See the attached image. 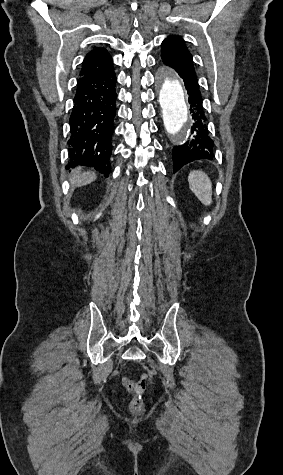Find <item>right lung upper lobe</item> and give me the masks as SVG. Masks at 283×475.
I'll return each instance as SVG.
<instances>
[{
	"label": "right lung upper lobe",
	"mask_w": 283,
	"mask_h": 475,
	"mask_svg": "<svg viewBox=\"0 0 283 475\" xmlns=\"http://www.w3.org/2000/svg\"><path fill=\"white\" fill-rule=\"evenodd\" d=\"M112 67V58L107 50L105 48H94L84 58L79 75L101 73Z\"/></svg>",
	"instance_id": "cb5924a9"
}]
</instances>
